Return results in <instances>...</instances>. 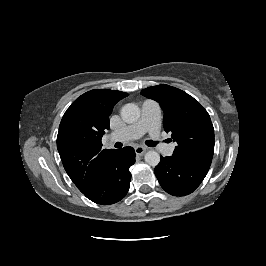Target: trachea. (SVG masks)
<instances>
[{
    "label": "trachea",
    "mask_w": 266,
    "mask_h": 266,
    "mask_svg": "<svg viewBox=\"0 0 266 266\" xmlns=\"http://www.w3.org/2000/svg\"><path fill=\"white\" fill-rule=\"evenodd\" d=\"M145 144L149 147H155L157 145V142L152 141V140H147V141H145Z\"/></svg>",
    "instance_id": "obj_1"
}]
</instances>
